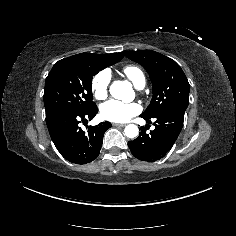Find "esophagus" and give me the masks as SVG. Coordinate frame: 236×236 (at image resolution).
<instances>
[{
  "instance_id": "esophagus-1",
  "label": "esophagus",
  "mask_w": 236,
  "mask_h": 236,
  "mask_svg": "<svg viewBox=\"0 0 236 236\" xmlns=\"http://www.w3.org/2000/svg\"><path fill=\"white\" fill-rule=\"evenodd\" d=\"M112 125L115 127H124L126 124L113 123Z\"/></svg>"
}]
</instances>
